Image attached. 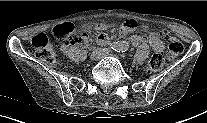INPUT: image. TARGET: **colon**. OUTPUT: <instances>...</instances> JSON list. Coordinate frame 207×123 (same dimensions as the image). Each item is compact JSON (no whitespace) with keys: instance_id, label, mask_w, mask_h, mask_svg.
I'll list each match as a JSON object with an SVG mask.
<instances>
[{"instance_id":"obj_1","label":"colon","mask_w":207,"mask_h":123,"mask_svg":"<svg viewBox=\"0 0 207 123\" xmlns=\"http://www.w3.org/2000/svg\"><path fill=\"white\" fill-rule=\"evenodd\" d=\"M73 33L74 26L69 22L58 24L54 28V35L62 45L73 44L77 41V38L73 37ZM162 35L169 42L168 51L164 56L155 54L150 58L148 62V70L151 72H157L162 69L165 64L172 63L174 59L184 51L183 44L177 38L173 37L168 30L164 29ZM31 46L39 58L50 64L56 62V57L52 51L48 36L45 33H38L33 36L31 39Z\"/></svg>"}]
</instances>
